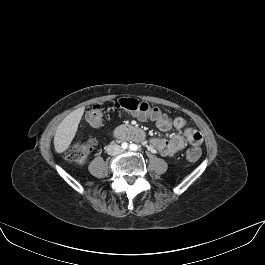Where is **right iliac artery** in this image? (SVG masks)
Masks as SVG:
<instances>
[{
  "label": "right iliac artery",
  "mask_w": 265,
  "mask_h": 265,
  "mask_svg": "<svg viewBox=\"0 0 265 265\" xmlns=\"http://www.w3.org/2000/svg\"><path fill=\"white\" fill-rule=\"evenodd\" d=\"M128 147V144L127 143H123L122 144V148L126 149Z\"/></svg>",
  "instance_id": "1"
}]
</instances>
